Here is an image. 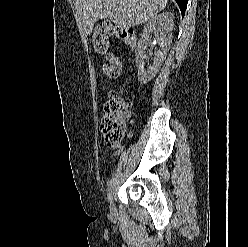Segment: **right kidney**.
Segmentation results:
<instances>
[{
	"instance_id": "ca27d5eb",
	"label": "right kidney",
	"mask_w": 248,
	"mask_h": 247,
	"mask_svg": "<svg viewBox=\"0 0 248 247\" xmlns=\"http://www.w3.org/2000/svg\"><path fill=\"white\" fill-rule=\"evenodd\" d=\"M173 26L174 15L171 12L157 14L147 20L141 33V39L136 47L138 81L141 84H146L151 81L156 76L160 66L166 59L167 52L169 51L172 42ZM153 33L159 48L155 51L153 64L146 67L145 60L148 59L146 50L147 47L152 44L151 38Z\"/></svg>"
}]
</instances>
